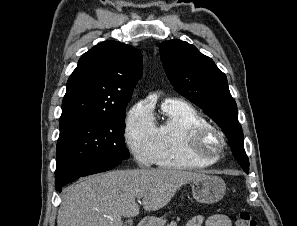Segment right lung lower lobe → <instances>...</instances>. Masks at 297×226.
<instances>
[{
  "label": "right lung lower lobe",
  "instance_id": "98d812e1",
  "mask_svg": "<svg viewBox=\"0 0 297 226\" xmlns=\"http://www.w3.org/2000/svg\"><path fill=\"white\" fill-rule=\"evenodd\" d=\"M118 160L96 159L73 163L55 171V188L61 192L62 187L79 177L108 171L119 165Z\"/></svg>",
  "mask_w": 297,
  "mask_h": 226
}]
</instances>
